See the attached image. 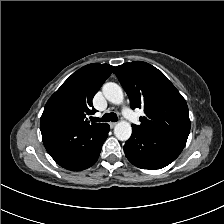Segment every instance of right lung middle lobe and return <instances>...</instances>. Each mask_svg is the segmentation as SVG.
<instances>
[{
  "instance_id": "dd1d6c3e",
  "label": "right lung middle lobe",
  "mask_w": 224,
  "mask_h": 224,
  "mask_svg": "<svg viewBox=\"0 0 224 224\" xmlns=\"http://www.w3.org/2000/svg\"><path fill=\"white\" fill-rule=\"evenodd\" d=\"M51 119H52V120H57V121H59V117L56 116V115H53V116L51 117Z\"/></svg>"
}]
</instances>
